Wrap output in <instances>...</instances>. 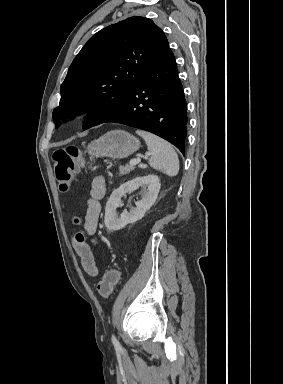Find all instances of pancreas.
<instances>
[{"label":"pancreas","mask_w":283,"mask_h":384,"mask_svg":"<svg viewBox=\"0 0 283 384\" xmlns=\"http://www.w3.org/2000/svg\"><path fill=\"white\" fill-rule=\"evenodd\" d=\"M131 170H134L133 166H119V176L130 174Z\"/></svg>","instance_id":"obj_1"}]
</instances>
